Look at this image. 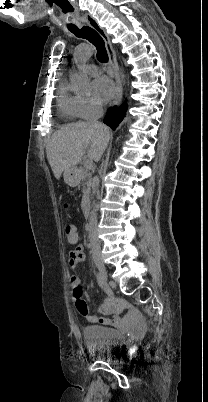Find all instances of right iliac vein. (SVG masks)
Returning a JSON list of instances; mask_svg holds the SVG:
<instances>
[{
    "label": "right iliac vein",
    "mask_w": 208,
    "mask_h": 402,
    "mask_svg": "<svg viewBox=\"0 0 208 402\" xmlns=\"http://www.w3.org/2000/svg\"><path fill=\"white\" fill-rule=\"evenodd\" d=\"M94 263L96 265V267L99 270L100 276L104 282V285H108V277H107V271H106V267L104 265V262L102 261V259L100 257H95L94 258Z\"/></svg>",
    "instance_id": "obj_1"
}]
</instances>
